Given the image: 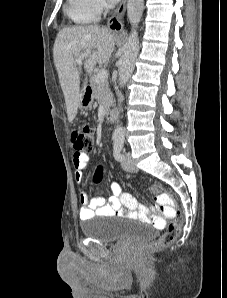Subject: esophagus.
Masks as SVG:
<instances>
[{
	"label": "esophagus",
	"instance_id": "obj_1",
	"mask_svg": "<svg viewBox=\"0 0 227 298\" xmlns=\"http://www.w3.org/2000/svg\"><path fill=\"white\" fill-rule=\"evenodd\" d=\"M126 1L127 0H122L121 4L116 9L114 14L109 18L107 25L110 30L112 31L122 30L123 28L122 18L126 10Z\"/></svg>",
	"mask_w": 227,
	"mask_h": 298
}]
</instances>
